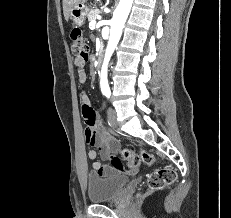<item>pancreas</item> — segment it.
Segmentation results:
<instances>
[{
    "label": "pancreas",
    "instance_id": "1",
    "mask_svg": "<svg viewBox=\"0 0 231 218\" xmlns=\"http://www.w3.org/2000/svg\"><path fill=\"white\" fill-rule=\"evenodd\" d=\"M99 13H100L99 9H97V8L91 9L87 14L88 21L91 22V21L95 20Z\"/></svg>",
    "mask_w": 231,
    "mask_h": 218
}]
</instances>
